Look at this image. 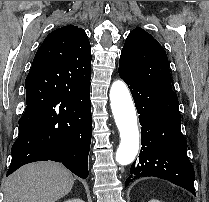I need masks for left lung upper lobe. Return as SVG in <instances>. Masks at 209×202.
Returning a JSON list of instances; mask_svg holds the SVG:
<instances>
[{"mask_svg":"<svg viewBox=\"0 0 209 202\" xmlns=\"http://www.w3.org/2000/svg\"><path fill=\"white\" fill-rule=\"evenodd\" d=\"M118 71L172 90L166 52L140 27L132 30L126 38Z\"/></svg>","mask_w":209,"mask_h":202,"instance_id":"1","label":"left lung upper lobe"}]
</instances>
